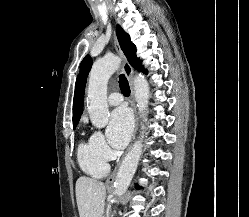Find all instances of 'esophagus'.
<instances>
[{
    "mask_svg": "<svg viewBox=\"0 0 249 217\" xmlns=\"http://www.w3.org/2000/svg\"><path fill=\"white\" fill-rule=\"evenodd\" d=\"M115 48H116L118 54L120 55V57L122 58V61H123L122 70H123L124 74L126 75V77L128 78L129 86H130V96L128 98V102L131 105V107L133 108V111L135 114V128H134V133H133V137H132V142H133L135 139V136H136L137 125H138L137 111H136L135 101H134V86H133V73L134 72H133L132 66L129 64L124 53L122 52L118 41H116V40H115ZM117 168H118V166L114 169L113 173L107 179V181H106L107 185H109V186L113 185V182H114V179L116 176Z\"/></svg>",
    "mask_w": 249,
    "mask_h": 217,
    "instance_id": "1",
    "label": "esophagus"
}]
</instances>
